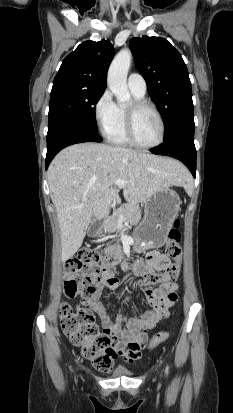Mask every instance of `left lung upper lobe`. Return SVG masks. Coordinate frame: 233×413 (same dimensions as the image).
Returning <instances> with one entry per match:
<instances>
[{"label":"left lung upper lobe","mask_w":233,"mask_h":413,"mask_svg":"<svg viewBox=\"0 0 233 413\" xmlns=\"http://www.w3.org/2000/svg\"><path fill=\"white\" fill-rule=\"evenodd\" d=\"M130 47L164 120V143L177 134L194 133L191 82L180 53L160 37L132 38Z\"/></svg>","instance_id":"1"}]
</instances>
